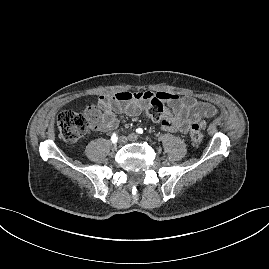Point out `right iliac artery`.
I'll list each match as a JSON object with an SVG mask.
<instances>
[{"label":"right iliac artery","mask_w":269,"mask_h":269,"mask_svg":"<svg viewBox=\"0 0 269 269\" xmlns=\"http://www.w3.org/2000/svg\"><path fill=\"white\" fill-rule=\"evenodd\" d=\"M117 140H118V137H117L116 133H113L112 136H111V141H112L113 143H116Z\"/></svg>","instance_id":"right-iliac-artery-1"}]
</instances>
